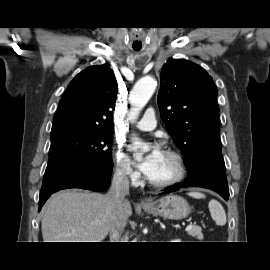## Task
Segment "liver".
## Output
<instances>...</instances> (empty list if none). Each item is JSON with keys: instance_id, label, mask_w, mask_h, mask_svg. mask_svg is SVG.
I'll return each instance as SVG.
<instances>
[{"instance_id": "1", "label": "liver", "mask_w": 270, "mask_h": 270, "mask_svg": "<svg viewBox=\"0 0 270 270\" xmlns=\"http://www.w3.org/2000/svg\"><path fill=\"white\" fill-rule=\"evenodd\" d=\"M124 214L132 215L128 200ZM117 218L109 194L64 190L54 194L43 209V242H102Z\"/></svg>"}]
</instances>
